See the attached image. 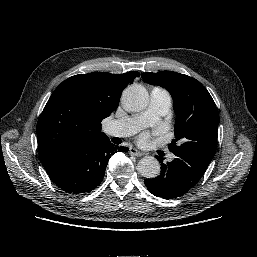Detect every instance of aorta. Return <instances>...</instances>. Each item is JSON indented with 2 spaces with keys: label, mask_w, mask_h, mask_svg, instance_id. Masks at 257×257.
I'll return each mask as SVG.
<instances>
[{
  "label": "aorta",
  "mask_w": 257,
  "mask_h": 257,
  "mask_svg": "<svg viewBox=\"0 0 257 257\" xmlns=\"http://www.w3.org/2000/svg\"><path fill=\"white\" fill-rule=\"evenodd\" d=\"M148 102V92L141 85H130L122 93V104L128 111H140L148 105ZM137 169L141 176L154 178L160 173V164L156 158L146 156L138 162Z\"/></svg>",
  "instance_id": "762f6f07"
}]
</instances>
